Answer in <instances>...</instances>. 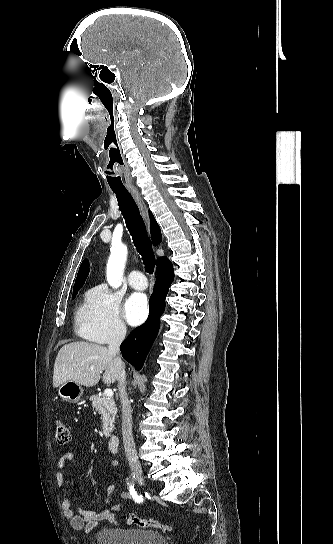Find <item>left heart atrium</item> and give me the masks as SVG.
<instances>
[{
  "label": "left heart atrium",
  "instance_id": "left-heart-atrium-1",
  "mask_svg": "<svg viewBox=\"0 0 333 544\" xmlns=\"http://www.w3.org/2000/svg\"><path fill=\"white\" fill-rule=\"evenodd\" d=\"M148 315L147 297L141 293L132 294L125 305V317L130 325L141 324Z\"/></svg>",
  "mask_w": 333,
  "mask_h": 544
}]
</instances>
